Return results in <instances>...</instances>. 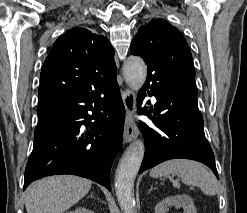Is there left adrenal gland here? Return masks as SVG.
I'll return each mask as SVG.
<instances>
[{
	"label": "left adrenal gland",
	"mask_w": 247,
	"mask_h": 213,
	"mask_svg": "<svg viewBox=\"0 0 247 213\" xmlns=\"http://www.w3.org/2000/svg\"><path fill=\"white\" fill-rule=\"evenodd\" d=\"M153 189H156V188L153 187V185H152L151 188H150V190H149V192L152 191Z\"/></svg>",
	"instance_id": "left-adrenal-gland-1"
}]
</instances>
